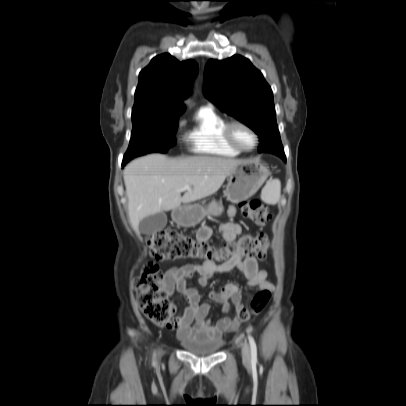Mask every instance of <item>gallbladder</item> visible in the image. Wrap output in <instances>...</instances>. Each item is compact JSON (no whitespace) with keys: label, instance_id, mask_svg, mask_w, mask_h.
<instances>
[{"label":"gallbladder","instance_id":"bac80fb5","mask_svg":"<svg viewBox=\"0 0 406 406\" xmlns=\"http://www.w3.org/2000/svg\"><path fill=\"white\" fill-rule=\"evenodd\" d=\"M167 224V215L164 212H159L145 217L139 223V230L143 234H154L160 232Z\"/></svg>","mask_w":406,"mask_h":406}]
</instances>
